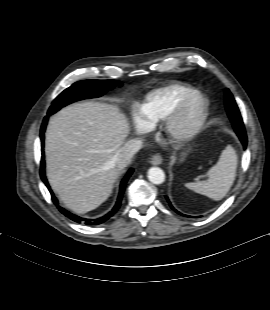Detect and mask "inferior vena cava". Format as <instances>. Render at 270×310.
<instances>
[{"mask_svg": "<svg viewBox=\"0 0 270 310\" xmlns=\"http://www.w3.org/2000/svg\"><path fill=\"white\" fill-rule=\"evenodd\" d=\"M142 146L143 144L140 140H129L113 156L112 162L119 170L124 169L127 165L130 164L134 154H136L142 148Z\"/></svg>", "mask_w": 270, "mask_h": 310, "instance_id": "602c4592", "label": "inferior vena cava"}]
</instances>
